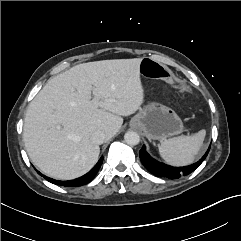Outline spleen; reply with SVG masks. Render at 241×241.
<instances>
[{
	"mask_svg": "<svg viewBox=\"0 0 241 241\" xmlns=\"http://www.w3.org/2000/svg\"><path fill=\"white\" fill-rule=\"evenodd\" d=\"M206 131L204 129L191 135H181L161 142L159 153L161 157L170 165L186 166L193 163L198 154Z\"/></svg>",
	"mask_w": 241,
	"mask_h": 241,
	"instance_id": "1",
	"label": "spleen"
}]
</instances>
